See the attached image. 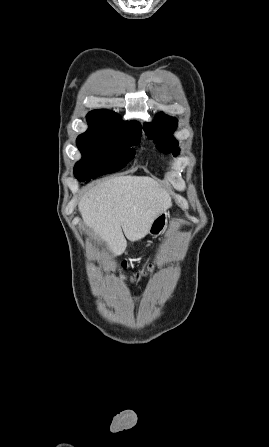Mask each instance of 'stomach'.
I'll return each instance as SVG.
<instances>
[{"label":"stomach","mask_w":269,"mask_h":447,"mask_svg":"<svg viewBox=\"0 0 269 447\" xmlns=\"http://www.w3.org/2000/svg\"><path fill=\"white\" fill-rule=\"evenodd\" d=\"M167 222L168 214L165 210L163 214H159V216H156L155 220H153L148 233H150V235H154V237H157V235H161L164 229H166Z\"/></svg>","instance_id":"1"}]
</instances>
